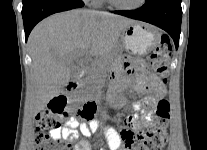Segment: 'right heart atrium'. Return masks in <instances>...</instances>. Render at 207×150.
<instances>
[{
	"label": "right heart atrium",
	"mask_w": 207,
	"mask_h": 150,
	"mask_svg": "<svg viewBox=\"0 0 207 150\" xmlns=\"http://www.w3.org/2000/svg\"><path fill=\"white\" fill-rule=\"evenodd\" d=\"M85 1H89V0H85ZM91 1L95 2V0H91Z\"/></svg>",
	"instance_id": "d8ad5b80"
}]
</instances>
